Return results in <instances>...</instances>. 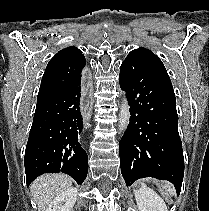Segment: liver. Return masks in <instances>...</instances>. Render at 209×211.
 Returning a JSON list of instances; mask_svg holds the SVG:
<instances>
[{"instance_id": "1", "label": "liver", "mask_w": 209, "mask_h": 211, "mask_svg": "<svg viewBox=\"0 0 209 211\" xmlns=\"http://www.w3.org/2000/svg\"><path fill=\"white\" fill-rule=\"evenodd\" d=\"M72 185V178L65 174H46L38 177L30 186L38 211H45L50 202Z\"/></svg>"}]
</instances>
